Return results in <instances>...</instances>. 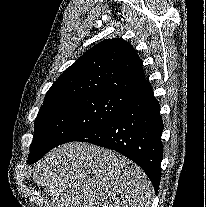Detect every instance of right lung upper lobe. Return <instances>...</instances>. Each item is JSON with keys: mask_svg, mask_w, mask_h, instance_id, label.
<instances>
[{"mask_svg": "<svg viewBox=\"0 0 206 207\" xmlns=\"http://www.w3.org/2000/svg\"><path fill=\"white\" fill-rule=\"evenodd\" d=\"M145 80L142 61L122 39L100 42L67 68L46 93L44 103L78 96L126 95Z\"/></svg>", "mask_w": 206, "mask_h": 207, "instance_id": "right-lung-upper-lobe-1", "label": "right lung upper lobe"}]
</instances>
